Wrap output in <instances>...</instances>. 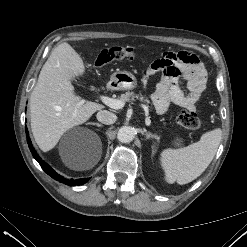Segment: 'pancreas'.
<instances>
[{"mask_svg":"<svg viewBox=\"0 0 247 247\" xmlns=\"http://www.w3.org/2000/svg\"><path fill=\"white\" fill-rule=\"evenodd\" d=\"M120 99L124 102H130L134 101L135 99H138L139 101L146 104V107H148V104H150V101L148 98L144 97L142 94H135L134 92H126L124 94H121Z\"/></svg>","mask_w":247,"mask_h":247,"instance_id":"1","label":"pancreas"}]
</instances>
